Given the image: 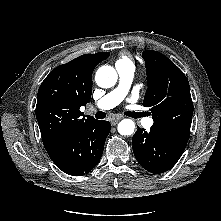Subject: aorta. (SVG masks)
Here are the masks:
<instances>
[{"label": "aorta", "instance_id": "aorta-1", "mask_svg": "<svg viewBox=\"0 0 221 221\" xmlns=\"http://www.w3.org/2000/svg\"><path fill=\"white\" fill-rule=\"evenodd\" d=\"M118 80L116 70L108 65L100 67L95 75V81L102 88L113 87ZM135 123L131 119H123L118 124V132L121 135H131L134 133Z\"/></svg>", "mask_w": 221, "mask_h": 221}]
</instances>
